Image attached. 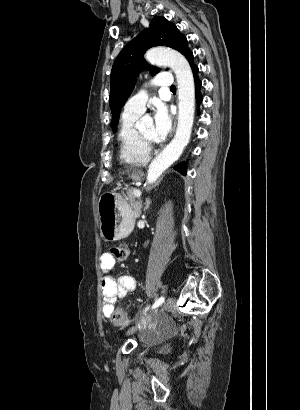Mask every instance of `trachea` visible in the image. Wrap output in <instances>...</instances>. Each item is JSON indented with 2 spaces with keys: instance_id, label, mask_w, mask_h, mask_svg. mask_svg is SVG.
<instances>
[{
  "instance_id": "obj_1",
  "label": "trachea",
  "mask_w": 300,
  "mask_h": 410,
  "mask_svg": "<svg viewBox=\"0 0 300 410\" xmlns=\"http://www.w3.org/2000/svg\"><path fill=\"white\" fill-rule=\"evenodd\" d=\"M170 90H171V91H176V87H175L174 85H172V86L170 87Z\"/></svg>"
}]
</instances>
